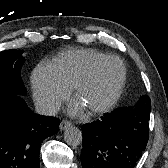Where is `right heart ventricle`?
<instances>
[{
	"label": "right heart ventricle",
	"instance_id": "right-heart-ventricle-1",
	"mask_svg": "<svg viewBox=\"0 0 168 168\" xmlns=\"http://www.w3.org/2000/svg\"><path fill=\"white\" fill-rule=\"evenodd\" d=\"M104 55L93 49H72L60 53L51 65L61 81L72 89L88 68Z\"/></svg>",
	"mask_w": 168,
	"mask_h": 168
}]
</instances>
